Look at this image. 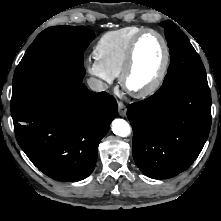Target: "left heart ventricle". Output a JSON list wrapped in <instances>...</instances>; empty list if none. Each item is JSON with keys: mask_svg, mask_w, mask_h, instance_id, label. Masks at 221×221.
<instances>
[{"mask_svg": "<svg viewBox=\"0 0 221 221\" xmlns=\"http://www.w3.org/2000/svg\"><path fill=\"white\" fill-rule=\"evenodd\" d=\"M164 57L161 41L154 34L145 35L138 43L128 86L139 90L150 85L157 77Z\"/></svg>", "mask_w": 221, "mask_h": 221, "instance_id": "obj_1", "label": "left heart ventricle"}]
</instances>
